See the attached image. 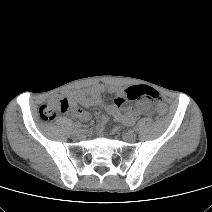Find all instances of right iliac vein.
<instances>
[{
    "label": "right iliac vein",
    "mask_w": 212,
    "mask_h": 212,
    "mask_svg": "<svg viewBox=\"0 0 212 212\" xmlns=\"http://www.w3.org/2000/svg\"><path fill=\"white\" fill-rule=\"evenodd\" d=\"M73 135H74L75 137H79V136L81 135V131H80V130H74V131H73Z\"/></svg>",
    "instance_id": "1"
}]
</instances>
